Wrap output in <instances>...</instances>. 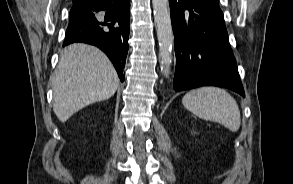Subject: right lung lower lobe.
I'll return each mask as SVG.
<instances>
[{"label":"right lung lower lobe","mask_w":293,"mask_h":184,"mask_svg":"<svg viewBox=\"0 0 293 184\" xmlns=\"http://www.w3.org/2000/svg\"><path fill=\"white\" fill-rule=\"evenodd\" d=\"M130 0L73 4L63 46L84 42L99 47L112 61L120 80L128 52Z\"/></svg>","instance_id":"right-lung-lower-lobe-1"}]
</instances>
